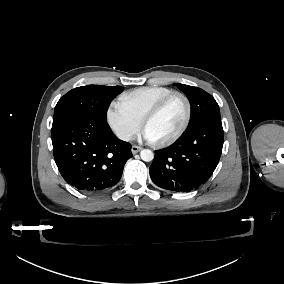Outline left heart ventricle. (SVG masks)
Returning a JSON list of instances; mask_svg holds the SVG:
<instances>
[{"mask_svg": "<svg viewBox=\"0 0 284 284\" xmlns=\"http://www.w3.org/2000/svg\"><path fill=\"white\" fill-rule=\"evenodd\" d=\"M186 115V104L181 97L174 98L162 112L144 125L154 141L171 137L180 128Z\"/></svg>", "mask_w": 284, "mask_h": 284, "instance_id": "left-heart-ventricle-1", "label": "left heart ventricle"}]
</instances>
